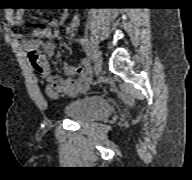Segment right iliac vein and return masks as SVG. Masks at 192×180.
Wrapping results in <instances>:
<instances>
[{"label": "right iliac vein", "instance_id": "obj_1", "mask_svg": "<svg viewBox=\"0 0 192 180\" xmlns=\"http://www.w3.org/2000/svg\"><path fill=\"white\" fill-rule=\"evenodd\" d=\"M91 48L94 57V71L95 74L98 75L101 71L102 66V54L101 51L99 50L97 42L93 38H91Z\"/></svg>", "mask_w": 192, "mask_h": 180}]
</instances>
